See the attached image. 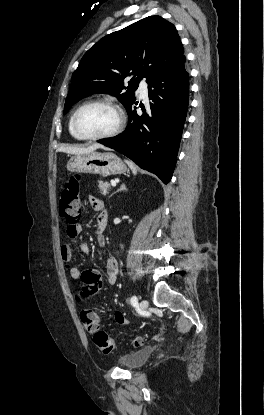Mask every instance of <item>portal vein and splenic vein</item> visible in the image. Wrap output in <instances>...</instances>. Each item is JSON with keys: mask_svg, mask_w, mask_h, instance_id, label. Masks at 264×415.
<instances>
[{"mask_svg": "<svg viewBox=\"0 0 264 415\" xmlns=\"http://www.w3.org/2000/svg\"><path fill=\"white\" fill-rule=\"evenodd\" d=\"M111 185L112 186H116V182L115 181H111Z\"/></svg>", "mask_w": 264, "mask_h": 415, "instance_id": "obj_1", "label": "portal vein and splenic vein"}]
</instances>
